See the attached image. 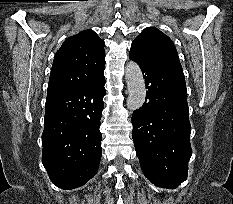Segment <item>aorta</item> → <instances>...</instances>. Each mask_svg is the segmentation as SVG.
Wrapping results in <instances>:
<instances>
[{
  "instance_id": "762f6f07",
  "label": "aorta",
  "mask_w": 233,
  "mask_h": 204,
  "mask_svg": "<svg viewBox=\"0 0 233 204\" xmlns=\"http://www.w3.org/2000/svg\"><path fill=\"white\" fill-rule=\"evenodd\" d=\"M125 79L128 88L127 108L129 110H137L142 107L145 101L146 88L142 71L134 61L127 63Z\"/></svg>"
}]
</instances>
